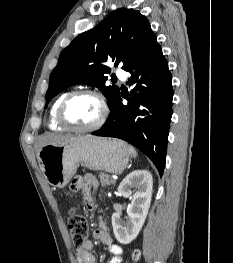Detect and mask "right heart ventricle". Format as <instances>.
Instances as JSON below:
<instances>
[{"instance_id": "right-heart-ventricle-1", "label": "right heart ventricle", "mask_w": 233, "mask_h": 263, "mask_svg": "<svg viewBox=\"0 0 233 263\" xmlns=\"http://www.w3.org/2000/svg\"><path fill=\"white\" fill-rule=\"evenodd\" d=\"M68 92L60 94L52 103L49 110L48 126L53 131H62L65 128L57 120V111L61 101L68 95Z\"/></svg>"}]
</instances>
